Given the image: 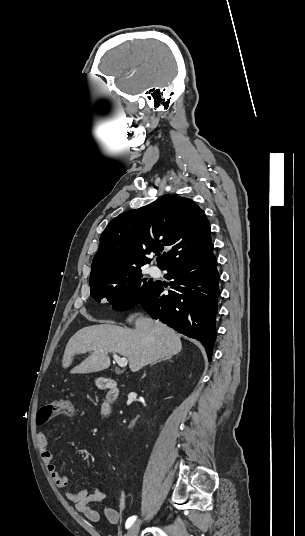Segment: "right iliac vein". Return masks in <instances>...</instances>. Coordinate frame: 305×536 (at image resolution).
Masks as SVG:
<instances>
[{"mask_svg":"<svg viewBox=\"0 0 305 536\" xmlns=\"http://www.w3.org/2000/svg\"><path fill=\"white\" fill-rule=\"evenodd\" d=\"M138 531H139V523L137 522V523H134V524L130 527V529H129V531H128V533H127L126 536H137V535H138Z\"/></svg>","mask_w":305,"mask_h":536,"instance_id":"1","label":"right iliac vein"}]
</instances>
